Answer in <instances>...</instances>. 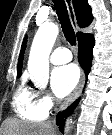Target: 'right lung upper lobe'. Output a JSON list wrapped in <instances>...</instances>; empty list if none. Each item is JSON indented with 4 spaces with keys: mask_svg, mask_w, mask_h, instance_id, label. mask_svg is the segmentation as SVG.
I'll return each mask as SVG.
<instances>
[{
    "mask_svg": "<svg viewBox=\"0 0 112 135\" xmlns=\"http://www.w3.org/2000/svg\"><path fill=\"white\" fill-rule=\"evenodd\" d=\"M73 5L74 9L76 12L77 16V22L80 27H88L92 24L93 22V16L91 13V7L89 6L87 0H73ZM90 35L89 33L84 34V33H78L77 34V39L80 40L86 36ZM26 46V37L23 41L22 48H21V53L19 56V61H18V77L21 76L22 74V64H23V58H24V50Z\"/></svg>",
    "mask_w": 112,
    "mask_h": 135,
    "instance_id": "right-lung-upper-lobe-1",
    "label": "right lung upper lobe"
}]
</instances>
